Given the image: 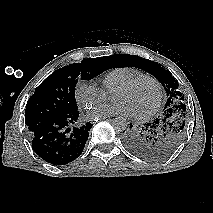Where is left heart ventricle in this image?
<instances>
[{"label":"left heart ventricle","instance_id":"b2bd125f","mask_svg":"<svg viewBox=\"0 0 213 213\" xmlns=\"http://www.w3.org/2000/svg\"><path fill=\"white\" fill-rule=\"evenodd\" d=\"M158 90L151 81H145L129 90H119L112 93V100L124 102L132 114H140L149 110L156 102Z\"/></svg>","mask_w":213,"mask_h":213}]
</instances>
